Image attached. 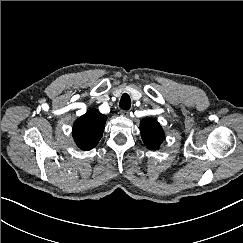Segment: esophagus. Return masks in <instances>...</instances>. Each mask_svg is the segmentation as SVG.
<instances>
[{
    "mask_svg": "<svg viewBox=\"0 0 243 243\" xmlns=\"http://www.w3.org/2000/svg\"><path fill=\"white\" fill-rule=\"evenodd\" d=\"M120 113H121L122 116H125V117L129 116L128 110H122Z\"/></svg>",
    "mask_w": 243,
    "mask_h": 243,
    "instance_id": "esophagus-1",
    "label": "esophagus"
}]
</instances>
